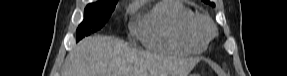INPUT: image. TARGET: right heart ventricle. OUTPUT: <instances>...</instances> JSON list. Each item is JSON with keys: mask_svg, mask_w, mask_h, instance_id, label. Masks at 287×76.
I'll return each instance as SVG.
<instances>
[{"mask_svg": "<svg viewBox=\"0 0 287 76\" xmlns=\"http://www.w3.org/2000/svg\"><path fill=\"white\" fill-rule=\"evenodd\" d=\"M197 16L181 1L157 4L135 27V33L148 48L172 53L202 52L207 41L195 31Z\"/></svg>", "mask_w": 287, "mask_h": 76, "instance_id": "1", "label": "right heart ventricle"}]
</instances>
